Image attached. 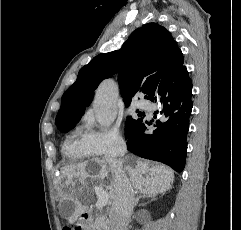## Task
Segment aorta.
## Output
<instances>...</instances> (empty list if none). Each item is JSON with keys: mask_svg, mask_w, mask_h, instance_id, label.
Returning a JSON list of instances; mask_svg holds the SVG:
<instances>
[{"mask_svg": "<svg viewBox=\"0 0 241 230\" xmlns=\"http://www.w3.org/2000/svg\"><path fill=\"white\" fill-rule=\"evenodd\" d=\"M118 89L111 79L104 80L97 88L93 109L96 121L104 127H109L117 116Z\"/></svg>", "mask_w": 241, "mask_h": 230, "instance_id": "obj_1", "label": "aorta"}]
</instances>
